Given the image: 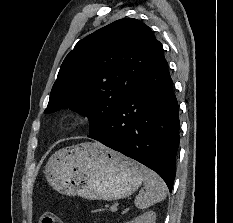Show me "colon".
<instances>
[{
    "instance_id": "obj_1",
    "label": "colon",
    "mask_w": 233,
    "mask_h": 223,
    "mask_svg": "<svg viewBox=\"0 0 233 223\" xmlns=\"http://www.w3.org/2000/svg\"><path fill=\"white\" fill-rule=\"evenodd\" d=\"M39 223H64V221L61 217L47 212L40 218Z\"/></svg>"
}]
</instances>
